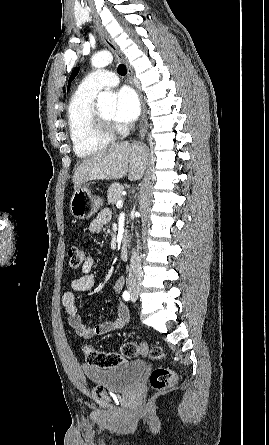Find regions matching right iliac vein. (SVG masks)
Segmentation results:
<instances>
[{"label":"right iliac vein","instance_id":"obj_1","mask_svg":"<svg viewBox=\"0 0 269 445\" xmlns=\"http://www.w3.org/2000/svg\"><path fill=\"white\" fill-rule=\"evenodd\" d=\"M132 296H138L139 290L137 288H131Z\"/></svg>","mask_w":269,"mask_h":445}]
</instances>
